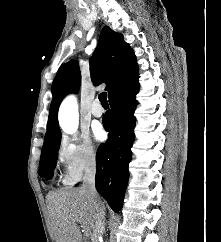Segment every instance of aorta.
<instances>
[{
	"label": "aorta",
	"instance_id": "762f6f07",
	"mask_svg": "<svg viewBox=\"0 0 221 242\" xmlns=\"http://www.w3.org/2000/svg\"><path fill=\"white\" fill-rule=\"evenodd\" d=\"M59 124L68 134L74 133L78 128V105L74 96H68L59 109Z\"/></svg>",
	"mask_w": 221,
	"mask_h": 242
}]
</instances>
